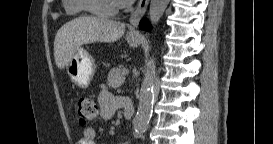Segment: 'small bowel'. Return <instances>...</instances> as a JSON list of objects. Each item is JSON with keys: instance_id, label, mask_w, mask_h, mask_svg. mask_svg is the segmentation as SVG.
<instances>
[{"instance_id": "small-bowel-1", "label": "small bowel", "mask_w": 273, "mask_h": 144, "mask_svg": "<svg viewBox=\"0 0 273 144\" xmlns=\"http://www.w3.org/2000/svg\"><path fill=\"white\" fill-rule=\"evenodd\" d=\"M98 104L100 108V117L104 120H110L113 116L123 109L121 97L114 96L105 87L102 88L98 95ZM97 132L94 128L88 127L84 129L82 137L77 144H95Z\"/></svg>"}]
</instances>
